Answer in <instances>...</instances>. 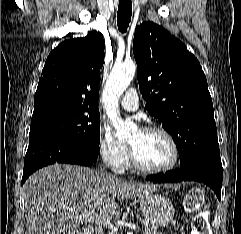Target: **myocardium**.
Here are the masks:
<instances>
[{
	"mask_svg": "<svg viewBox=\"0 0 241 234\" xmlns=\"http://www.w3.org/2000/svg\"><path fill=\"white\" fill-rule=\"evenodd\" d=\"M142 132L145 133H160L162 134L170 143L172 151H173V157L169 164H167L164 167L159 168H152L145 166L140 162L138 159L135 149L129 144L128 148V154H129V160L131 165L138 171L146 174H162L171 171L176 167L178 164L179 158H180V150L179 146L175 140V138L172 136V134L166 130L165 128L161 126H148L141 129Z\"/></svg>",
	"mask_w": 241,
	"mask_h": 234,
	"instance_id": "f54148a6",
	"label": "myocardium"
}]
</instances>
